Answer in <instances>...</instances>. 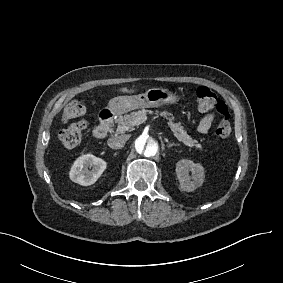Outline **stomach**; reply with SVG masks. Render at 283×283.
Masks as SVG:
<instances>
[{
    "label": "stomach",
    "mask_w": 283,
    "mask_h": 283,
    "mask_svg": "<svg viewBox=\"0 0 283 283\" xmlns=\"http://www.w3.org/2000/svg\"><path fill=\"white\" fill-rule=\"evenodd\" d=\"M179 97L168 89L151 88L145 93L131 96H117L112 98L109 109L117 116L135 109L159 107L163 104H173Z\"/></svg>",
    "instance_id": "0dacf381"
}]
</instances>
